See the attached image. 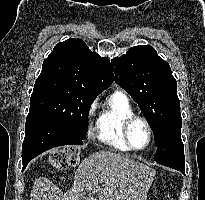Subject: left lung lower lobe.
<instances>
[{
    "instance_id": "left-lung-lower-lobe-1",
    "label": "left lung lower lobe",
    "mask_w": 205,
    "mask_h": 200,
    "mask_svg": "<svg viewBox=\"0 0 205 200\" xmlns=\"http://www.w3.org/2000/svg\"><path fill=\"white\" fill-rule=\"evenodd\" d=\"M181 115L176 116L166 126L162 142L156 147L154 160L164 166L181 171L185 174L184 146L181 140Z\"/></svg>"
}]
</instances>
